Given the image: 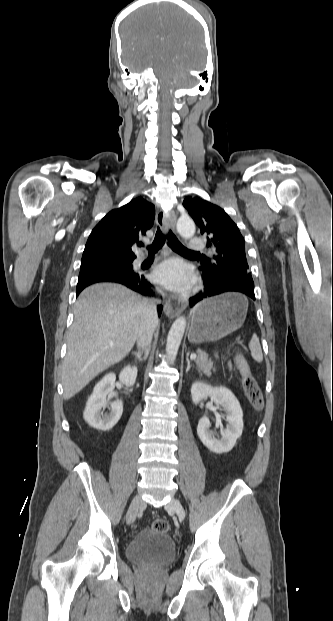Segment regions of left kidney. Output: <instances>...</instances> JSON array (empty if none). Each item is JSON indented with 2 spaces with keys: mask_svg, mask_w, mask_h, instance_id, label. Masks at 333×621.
<instances>
[{
  "mask_svg": "<svg viewBox=\"0 0 333 621\" xmlns=\"http://www.w3.org/2000/svg\"><path fill=\"white\" fill-rule=\"evenodd\" d=\"M192 401L198 404L201 400L210 397L226 413L228 424L220 430L221 440L213 437L210 430L209 419L203 417L199 420L197 434L202 443L214 453H227L236 444L243 431V411L235 395L226 387H213L208 384L196 382L191 387Z\"/></svg>",
  "mask_w": 333,
  "mask_h": 621,
  "instance_id": "5707ae66",
  "label": "left kidney"
}]
</instances>
